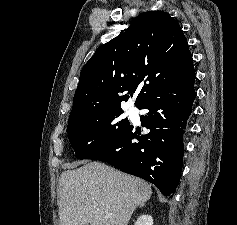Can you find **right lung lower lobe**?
I'll return each mask as SVG.
<instances>
[{
  "label": "right lung lower lobe",
  "mask_w": 237,
  "mask_h": 225,
  "mask_svg": "<svg viewBox=\"0 0 237 225\" xmlns=\"http://www.w3.org/2000/svg\"><path fill=\"white\" fill-rule=\"evenodd\" d=\"M195 97L194 83L163 86L138 107L149 110L140 117L149 133L140 135L130 125L110 146L89 158L147 180L163 195L172 197L181 176L182 137ZM134 139L138 142H133Z\"/></svg>",
  "instance_id": "obj_1"
}]
</instances>
